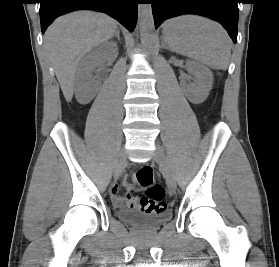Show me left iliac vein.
<instances>
[{
	"instance_id": "4c4485c4",
	"label": "left iliac vein",
	"mask_w": 279,
	"mask_h": 267,
	"mask_svg": "<svg viewBox=\"0 0 279 267\" xmlns=\"http://www.w3.org/2000/svg\"><path fill=\"white\" fill-rule=\"evenodd\" d=\"M154 160L159 164V166L162 170V173L166 179L168 188L171 191H175L176 181H175L174 173L165 156L163 149L159 145H156V150L154 152Z\"/></svg>"
}]
</instances>
